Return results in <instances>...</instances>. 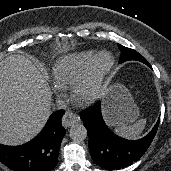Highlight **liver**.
Returning <instances> with one entry per match:
<instances>
[{
  "label": "liver",
  "instance_id": "1",
  "mask_svg": "<svg viewBox=\"0 0 171 171\" xmlns=\"http://www.w3.org/2000/svg\"><path fill=\"white\" fill-rule=\"evenodd\" d=\"M46 74L15 54L0 62V143L21 145L34 138L51 114Z\"/></svg>",
  "mask_w": 171,
  "mask_h": 171
}]
</instances>
